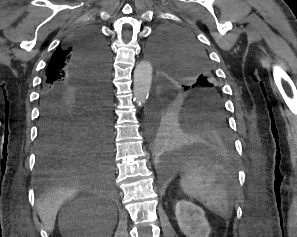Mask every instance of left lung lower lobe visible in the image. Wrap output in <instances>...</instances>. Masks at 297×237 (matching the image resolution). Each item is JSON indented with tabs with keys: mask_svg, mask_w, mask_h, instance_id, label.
Segmentation results:
<instances>
[{
	"mask_svg": "<svg viewBox=\"0 0 297 237\" xmlns=\"http://www.w3.org/2000/svg\"><path fill=\"white\" fill-rule=\"evenodd\" d=\"M157 112L172 110L176 116L173 131H158L154 137L156 159L165 168H180L194 163L213 164L233 154V141L225 110L218 103H173L160 92L154 103Z\"/></svg>",
	"mask_w": 297,
	"mask_h": 237,
	"instance_id": "obj_1",
	"label": "left lung lower lobe"
}]
</instances>
